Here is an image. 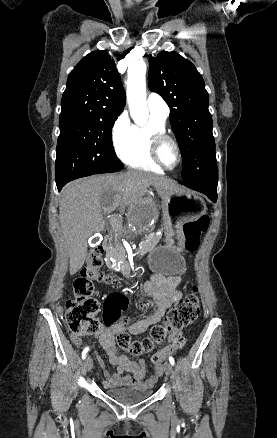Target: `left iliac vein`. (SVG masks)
Here are the masks:
<instances>
[{"label":"left iliac vein","instance_id":"1","mask_svg":"<svg viewBox=\"0 0 277 438\" xmlns=\"http://www.w3.org/2000/svg\"><path fill=\"white\" fill-rule=\"evenodd\" d=\"M172 372H173V366H172V364H171V363H167V364L165 365V374H166L167 376H170V375L172 374Z\"/></svg>","mask_w":277,"mask_h":438}]
</instances>
